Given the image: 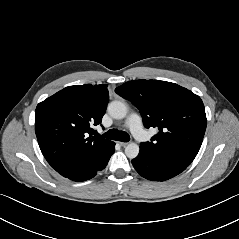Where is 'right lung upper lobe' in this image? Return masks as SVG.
Listing matches in <instances>:
<instances>
[{"label":"right lung upper lobe","instance_id":"right-lung-upper-lobe-1","mask_svg":"<svg viewBox=\"0 0 239 239\" xmlns=\"http://www.w3.org/2000/svg\"><path fill=\"white\" fill-rule=\"evenodd\" d=\"M107 85L69 86L35 110V132L42 154L62 176L100 159L112 141L92 136L109 100Z\"/></svg>","mask_w":239,"mask_h":239}]
</instances>
